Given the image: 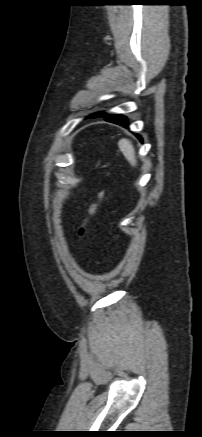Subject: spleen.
Here are the masks:
<instances>
[{
	"label": "spleen",
	"mask_w": 202,
	"mask_h": 437,
	"mask_svg": "<svg viewBox=\"0 0 202 437\" xmlns=\"http://www.w3.org/2000/svg\"><path fill=\"white\" fill-rule=\"evenodd\" d=\"M118 146H119L120 151L123 153L125 158L128 160V162L132 166H136L137 160H136L135 150H134L132 143L128 139L123 138V139L119 140Z\"/></svg>",
	"instance_id": "3e777b00"
}]
</instances>
